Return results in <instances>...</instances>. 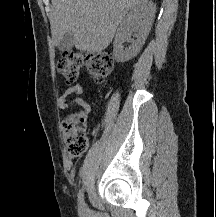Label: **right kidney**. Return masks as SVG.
<instances>
[{"label":"right kidney","mask_w":216,"mask_h":217,"mask_svg":"<svg viewBox=\"0 0 216 217\" xmlns=\"http://www.w3.org/2000/svg\"><path fill=\"white\" fill-rule=\"evenodd\" d=\"M156 7L153 2L144 1L134 7L122 20L114 40V56L119 62L134 58L142 48L151 29ZM135 39H131V36ZM130 45L124 47V43Z\"/></svg>","instance_id":"obj_1"}]
</instances>
